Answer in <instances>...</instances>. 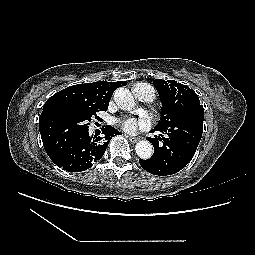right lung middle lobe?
Returning a JSON list of instances; mask_svg holds the SVG:
<instances>
[{
  "instance_id": "obj_1",
  "label": "right lung middle lobe",
  "mask_w": 255,
  "mask_h": 255,
  "mask_svg": "<svg viewBox=\"0 0 255 255\" xmlns=\"http://www.w3.org/2000/svg\"><path fill=\"white\" fill-rule=\"evenodd\" d=\"M99 111L97 109H53L40 117L39 128L61 142H66L88 130L89 121L93 116L98 118L96 113Z\"/></svg>"
}]
</instances>
